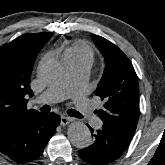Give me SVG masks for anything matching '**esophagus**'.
Wrapping results in <instances>:
<instances>
[{
  "label": "esophagus",
  "instance_id": "1",
  "mask_svg": "<svg viewBox=\"0 0 165 165\" xmlns=\"http://www.w3.org/2000/svg\"><path fill=\"white\" fill-rule=\"evenodd\" d=\"M72 121V118L62 115L61 116V125L66 126Z\"/></svg>",
  "mask_w": 165,
  "mask_h": 165
}]
</instances>
